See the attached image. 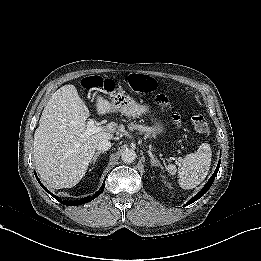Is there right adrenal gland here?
Returning a JSON list of instances; mask_svg holds the SVG:
<instances>
[{
    "instance_id": "right-adrenal-gland-1",
    "label": "right adrenal gland",
    "mask_w": 261,
    "mask_h": 261,
    "mask_svg": "<svg viewBox=\"0 0 261 261\" xmlns=\"http://www.w3.org/2000/svg\"><path fill=\"white\" fill-rule=\"evenodd\" d=\"M104 152L103 151H99V152H96L94 157H93V163L96 162L97 158L99 157L100 154H103Z\"/></svg>"
}]
</instances>
